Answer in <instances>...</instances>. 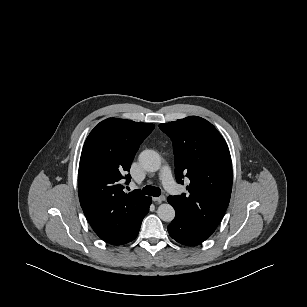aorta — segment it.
<instances>
[{"mask_svg": "<svg viewBox=\"0 0 307 307\" xmlns=\"http://www.w3.org/2000/svg\"><path fill=\"white\" fill-rule=\"evenodd\" d=\"M138 160L142 168L148 172H156L161 166V157L154 150L142 151ZM157 215L162 221L171 222L175 217V210L170 204L164 203L158 207Z\"/></svg>", "mask_w": 307, "mask_h": 307, "instance_id": "obj_1", "label": "aorta"}]
</instances>
